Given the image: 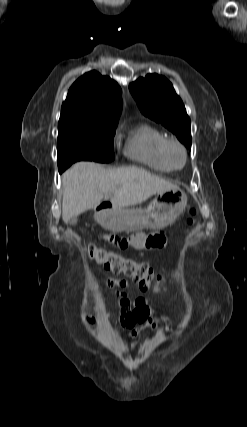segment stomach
Here are the masks:
<instances>
[{
  "label": "stomach",
  "mask_w": 247,
  "mask_h": 427,
  "mask_svg": "<svg viewBox=\"0 0 247 427\" xmlns=\"http://www.w3.org/2000/svg\"><path fill=\"white\" fill-rule=\"evenodd\" d=\"M187 196L180 188L159 193L146 209H102L95 219L105 229L116 232L158 230L172 224L185 210Z\"/></svg>",
  "instance_id": "obj_1"
}]
</instances>
